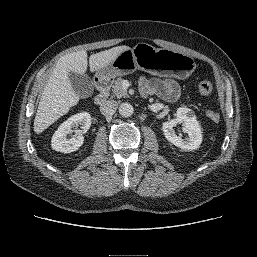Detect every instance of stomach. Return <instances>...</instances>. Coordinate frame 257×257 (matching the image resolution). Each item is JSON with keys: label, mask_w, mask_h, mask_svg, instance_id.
<instances>
[{"label": "stomach", "mask_w": 257, "mask_h": 257, "mask_svg": "<svg viewBox=\"0 0 257 257\" xmlns=\"http://www.w3.org/2000/svg\"><path fill=\"white\" fill-rule=\"evenodd\" d=\"M195 68L196 63L189 55L138 43L133 49L123 51L112 63L100 69L97 75L102 79H112L139 69L154 75L184 79Z\"/></svg>", "instance_id": "obj_1"}]
</instances>
